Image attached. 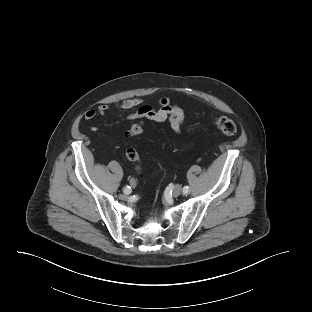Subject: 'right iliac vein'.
Segmentation results:
<instances>
[{
	"mask_svg": "<svg viewBox=\"0 0 312 312\" xmlns=\"http://www.w3.org/2000/svg\"><path fill=\"white\" fill-rule=\"evenodd\" d=\"M130 185H131L132 187H134V186L136 185L135 180H131V181H130Z\"/></svg>",
	"mask_w": 312,
	"mask_h": 312,
	"instance_id": "63e3f726",
	"label": "right iliac vein"
}]
</instances>
